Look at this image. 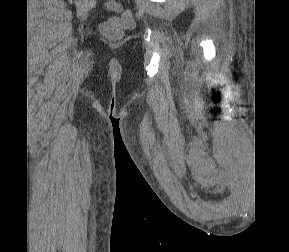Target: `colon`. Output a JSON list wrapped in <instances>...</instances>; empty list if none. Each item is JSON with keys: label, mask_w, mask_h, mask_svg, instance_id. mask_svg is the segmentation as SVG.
Returning <instances> with one entry per match:
<instances>
[{"label": "colon", "mask_w": 289, "mask_h": 252, "mask_svg": "<svg viewBox=\"0 0 289 252\" xmlns=\"http://www.w3.org/2000/svg\"><path fill=\"white\" fill-rule=\"evenodd\" d=\"M108 8L113 11L121 12V15L119 17H112L103 22L101 25V31L109 38L118 39L121 37L122 29L132 26L133 14L130 10H122L113 0L108 3Z\"/></svg>", "instance_id": "1"}]
</instances>
